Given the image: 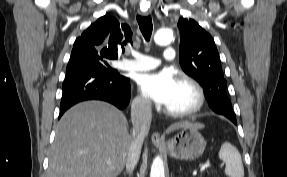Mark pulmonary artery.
<instances>
[{
  "instance_id": "obj_1",
  "label": "pulmonary artery",
  "mask_w": 287,
  "mask_h": 177,
  "mask_svg": "<svg viewBox=\"0 0 287 177\" xmlns=\"http://www.w3.org/2000/svg\"><path fill=\"white\" fill-rule=\"evenodd\" d=\"M133 60L123 59L118 62V68L127 71H135L141 72L146 71L158 66V62L152 56L139 53V52H132ZM175 57V50L174 47L167 46L163 52V59L166 62H172Z\"/></svg>"
}]
</instances>
